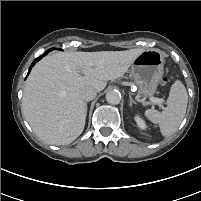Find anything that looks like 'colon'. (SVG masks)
I'll return each mask as SVG.
<instances>
[{
  "mask_svg": "<svg viewBox=\"0 0 201 201\" xmlns=\"http://www.w3.org/2000/svg\"><path fill=\"white\" fill-rule=\"evenodd\" d=\"M167 82V79L166 78H163L162 80H161V84H165Z\"/></svg>",
  "mask_w": 201,
  "mask_h": 201,
  "instance_id": "colon-1",
  "label": "colon"
}]
</instances>
